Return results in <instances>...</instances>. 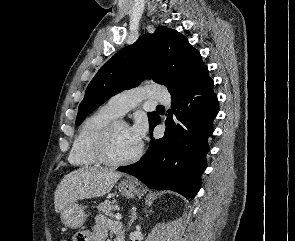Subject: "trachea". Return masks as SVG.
Returning <instances> with one entry per match:
<instances>
[{
    "instance_id": "obj_1",
    "label": "trachea",
    "mask_w": 295,
    "mask_h": 241,
    "mask_svg": "<svg viewBox=\"0 0 295 241\" xmlns=\"http://www.w3.org/2000/svg\"><path fill=\"white\" fill-rule=\"evenodd\" d=\"M157 107H158V108H164V106H162V105H158Z\"/></svg>"
}]
</instances>
